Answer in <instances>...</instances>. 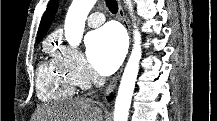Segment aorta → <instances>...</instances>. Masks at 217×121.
<instances>
[{"label":"aorta","mask_w":217,"mask_h":121,"mask_svg":"<svg viewBox=\"0 0 217 121\" xmlns=\"http://www.w3.org/2000/svg\"><path fill=\"white\" fill-rule=\"evenodd\" d=\"M97 0H73L65 19V38L71 46L80 44L84 32L87 16ZM132 12L130 0L126 1ZM134 28L136 26L134 25ZM141 35L138 29L134 30V45L124 69L115 102L114 121H128L129 109L135 88L141 59Z\"/></svg>","instance_id":"1"}]
</instances>
